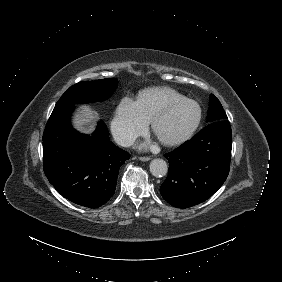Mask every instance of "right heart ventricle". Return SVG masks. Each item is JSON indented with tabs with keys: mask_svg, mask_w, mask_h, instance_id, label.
<instances>
[{
	"mask_svg": "<svg viewBox=\"0 0 282 282\" xmlns=\"http://www.w3.org/2000/svg\"><path fill=\"white\" fill-rule=\"evenodd\" d=\"M180 98H182V96L171 89L152 88L145 90L139 96L138 103L149 121H153L157 113L160 112L168 103Z\"/></svg>",
	"mask_w": 282,
	"mask_h": 282,
	"instance_id": "1",
	"label": "right heart ventricle"
}]
</instances>
